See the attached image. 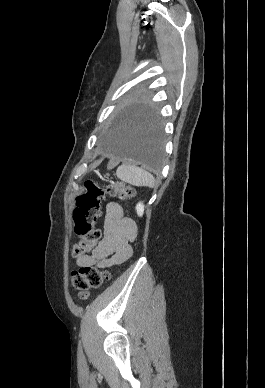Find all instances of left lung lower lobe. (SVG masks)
Wrapping results in <instances>:
<instances>
[{
  "instance_id": "1",
  "label": "left lung lower lobe",
  "mask_w": 265,
  "mask_h": 388,
  "mask_svg": "<svg viewBox=\"0 0 265 388\" xmlns=\"http://www.w3.org/2000/svg\"><path fill=\"white\" fill-rule=\"evenodd\" d=\"M112 155L157 170L163 159V132L152 109L126 108L121 111L104 140Z\"/></svg>"
}]
</instances>
